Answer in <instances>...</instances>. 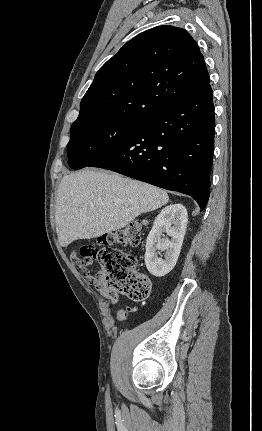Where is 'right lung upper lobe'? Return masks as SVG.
Returning <instances> with one entry per match:
<instances>
[{
	"mask_svg": "<svg viewBox=\"0 0 262 431\" xmlns=\"http://www.w3.org/2000/svg\"><path fill=\"white\" fill-rule=\"evenodd\" d=\"M208 86L209 74L195 40L181 28L158 26L128 41L99 69L73 125L144 119Z\"/></svg>",
	"mask_w": 262,
	"mask_h": 431,
	"instance_id": "cb5924a9",
	"label": "right lung upper lobe"
}]
</instances>
